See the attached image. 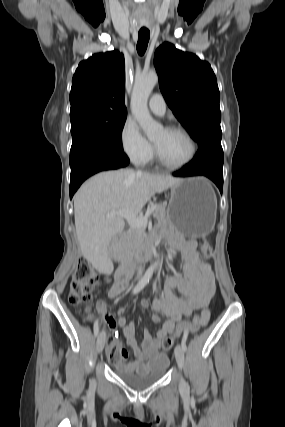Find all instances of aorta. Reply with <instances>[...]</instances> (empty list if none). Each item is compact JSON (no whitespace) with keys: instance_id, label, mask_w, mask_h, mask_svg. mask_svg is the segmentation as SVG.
<instances>
[{"instance_id":"obj_1","label":"aorta","mask_w":285,"mask_h":427,"mask_svg":"<svg viewBox=\"0 0 285 427\" xmlns=\"http://www.w3.org/2000/svg\"><path fill=\"white\" fill-rule=\"evenodd\" d=\"M157 83L156 73L137 76L131 96L132 114L150 139L162 130V125L153 120L147 106L148 98ZM159 266H161L160 261H156L154 267Z\"/></svg>"}]
</instances>
